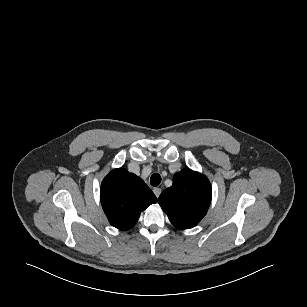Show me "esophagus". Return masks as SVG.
<instances>
[{
  "label": "esophagus",
  "mask_w": 307,
  "mask_h": 307,
  "mask_svg": "<svg viewBox=\"0 0 307 307\" xmlns=\"http://www.w3.org/2000/svg\"><path fill=\"white\" fill-rule=\"evenodd\" d=\"M153 192L155 196L158 198L161 194V189L160 188H153Z\"/></svg>",
  "instance_id": "esophagus-1"
}]
</instances>
